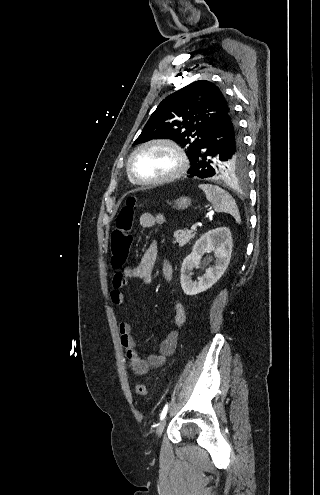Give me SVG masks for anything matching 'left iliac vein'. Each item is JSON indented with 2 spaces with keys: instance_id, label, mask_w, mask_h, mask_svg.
Returning a JSON list of instances; mask_svg holds the SVG:
<instances>
[{
  "instance_id": "left-iliac-vein-1",
  "label": "left iliac vein",
  "mask_w": 320,
  "mask_h": 495,
  "mask_svg": "<svg viewBox=\"0 0 320 495\" xmlns=\"http://www.w3.org/2000/svg\"><path fill=\"white\" fill-rule=\"evenodd\" d=\"M166 426V419H162L156 429V434L158 437H160L165 429Z\"/></svg>"
}]
</instances>
